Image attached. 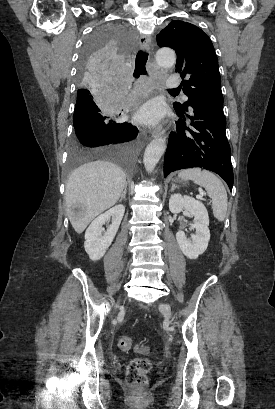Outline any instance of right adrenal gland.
<instances>
[{
  "label": "right adrenal gland",
  "instance_id": "1",
  "mask_svg": "<svg viewBox=\"0 0 275 409\" xmlns=\"http://www.w3.org/2000/svg\"><path fill=\"white\" fill-rule=\"evenodd\" d=\"M126 192H127V184H125V186H124V190H123V192H122V194H121V196L119 198V202H121L122 198H125Z\"/></svg>",
  "mask_w": 275,
  "mask_h": 409
}]
</instances>
